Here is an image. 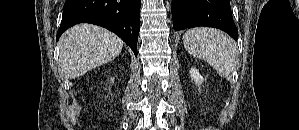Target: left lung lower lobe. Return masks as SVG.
Wrapping results in <instances>:
<instances>
[{
	"label": "left lung lower lobe",
	"instance_id": "obj_1",
	"mask_svg": "<svg viewBox=\"0 0 299 130\" xmlns=\"http://www.w3.org/2000/svg\"><path fill=\"white\" fill-rule=\"evenodd\" d=\"M172 17L175 30L207 26L238 38L229 0H172Z\"/></svg>",
	"mask_w": 299,
	"mask_h": 130
}]
</instances>
